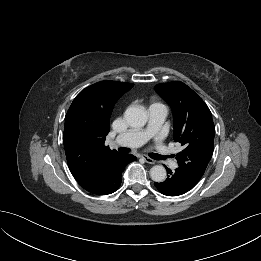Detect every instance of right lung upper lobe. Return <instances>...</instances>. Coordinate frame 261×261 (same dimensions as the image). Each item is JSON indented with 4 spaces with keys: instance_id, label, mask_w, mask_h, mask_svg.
Masks as SVG:
<instances>
[{
    "instance_id": "obj_1",
    "label": "right lung upper lobe",
    "mask_w": 261,
    "mask_h": 261,
    "mask_svg": "<svg viewBox=\"0 0 261 261\" xmlns=\"http://www.w3.org/2000/svg\"><path fill=\"white\" fill-rule=\"evenodd\" d=\"M133 85L101 81L83 89L73 100L65 116L63 143L69 169L78 183L90 179L119 155L104 143L113 107Z\"/></svg>"
}]
</instances>
